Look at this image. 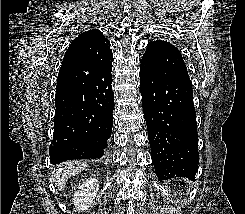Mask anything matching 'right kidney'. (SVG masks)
<instances>
[{
    "label": "right kidney",
    "instance_id": "ca27d5eb",
    "mask_svg": "<svg viewBox=\"0 0 245 214\" xmlns=\"http://www.w3.org/2000/svg\"><path fill=\"white\" fill-rule=\"evenodd\" d=\"M99 190L96 179H87L78 186V190L73 195V203L77 210L85 211L92 204Z\"/></svg>",
    "mask_w": 245,
    "mask_h": 214
}]
</instances>
